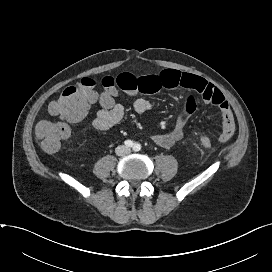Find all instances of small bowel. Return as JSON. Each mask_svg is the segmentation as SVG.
<instances>
[{
    "instance_id": "obj_1",
    "label": "small bowel",
    "mask_w": 272,
    "mask_h": 272,
    "mask_svg": "<svg viewBox=\"0 0 272 272\" xmlns=\"http://www.w3.org/2000/svg\"><path fill=\"white\" fill-rule=\"evenodd\" d=\"M115 80L117 88L130 95L137 93L154 94L162 89H175L177 87L185 88L188 91L189 94L184 103L182 116L175 127L167 133L151 136L152 141L160 147L170 148L183 138L187 121L196 110L199 99L216 106L220 110L221 133L219 141L225 143L234 134V117L226 98L217 87L201 77L167 69L156 74L140 76L123 72ZM134 109L138 114L143 115L152 109V104L147 99L138 98L134 102ZM124 115V107L121 104L114 103L110 107H103L99 110L92 124L95 129L105 131L118 124Z\"/></svg>"
}]
</instances>
